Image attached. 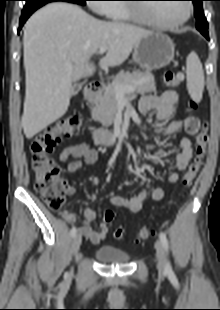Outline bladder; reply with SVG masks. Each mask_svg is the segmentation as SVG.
I'll return each mask as SVG.
<instances>
[{
	"label": "bladder",
	"instance_id": "31cf9c89",
	"mask_svg": "<svg viewBox=\"0 0 220 310\" xmlns=\"http://www.w3.org/2000/svg\"><path fill=\"white\" fill-rule=\"evenodd\" d=\"M93 255L102 264H125L130 259L127 251L111 245L96 248Z\"/></svg>",
	"mask_w": 220,
	"mask_h": 310
}]
</instances>
